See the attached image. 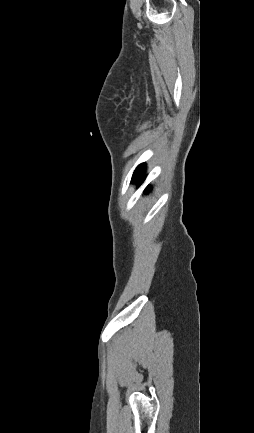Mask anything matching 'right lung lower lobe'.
Here are the masks:
<instances>
[{
	"label": "right lung lower lobe",
	"mask_w": 254,
	"mask_h": 433,
	"mask_svg": "<svg viewBox=\"0 0 254 433\" xmlns=\"http://www.w3.org/2000/svg\"><path fill=\"white\" fill-rule=\"evenodd\" d=\"M144 172H145V164L139 165L133 174L132 182H142L144 179Z\"/></svg>",
	"instance_id": "1"
}]
</instances>
